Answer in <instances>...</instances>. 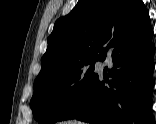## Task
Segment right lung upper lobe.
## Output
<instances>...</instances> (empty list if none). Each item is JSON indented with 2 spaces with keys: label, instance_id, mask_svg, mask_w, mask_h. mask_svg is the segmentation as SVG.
<instances>
[{
  "label": "right lung upper lobe",
  "instance_id": "1",
  "mask_svg": "<svg viewBox=\"0 0 156 124\" xmlns=\"http://www.w3.org/2000/svg\"><path fill=\"white\" fill-rule=\"evenodd\" d=\"M150 26L142 0H79L48 37L37 78L77 63L101 59L125 33Z\"/></svg>",
  "mask_w": 156,
  "mask_h": 124
}]
</instances>
